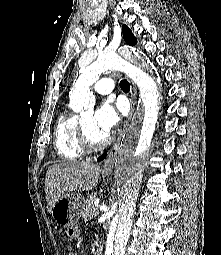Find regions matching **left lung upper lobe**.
<instances>
[{
  "mask_svg": "<svg viewBox=\"0 0 221 255\" xmlns=\"http://www.w3.org/2000/svg\"><path fill=\"white\" fill-rule=\"evenodd\" d=\"M122 31H123V38L127 44L135 45L137 43L136 37H134L133 33L126 25L122 26Z\"/></svg>",
  "mask_w": 221,
  "mask_h": 255,
  "instance_id": "obj_1",
  "label": "left lung upper lobe"
}]
</instances>
